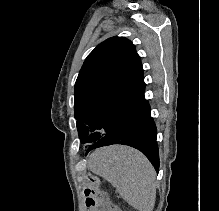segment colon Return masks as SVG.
<instances>
[{"instance_id":"1","label":"colon","mask_w":219,"mask_h":211,"mask_svg":"<svg viewBox=\"0 0 219 211\" xmlns=\"http://www.w3.org/2000/svg\"><path fill=\"white\" fill-rule=\"evenodd\" d=\"M87 186L85 188L86 196V206L89 211H96L99 208L100 201L102 198V193L100 191V181L99 178L88 174L87 177Z\"/></svg>"}]
</instances>
